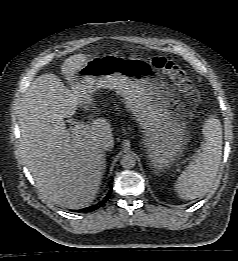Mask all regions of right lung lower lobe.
I'll use <instances>...</instances> for the list:
<instances>
[{
	"label": "right lung lower lobe",
	"mask_w": 238,
	"mask_h": 261,
	"mask_svg": "<svg viewBox=\"0 0 238 261\" xmlns=\"http://www.w3.org/2000/svg\"><path fill=\"white\" fill-rule=\"evenodd\" d=\"M111 190L106 194V196L96 205H93L88 208L87 212H91L96 210L97 208L101 207L109 198H110Z\"/></svg>",
	"instance_id": "98d812e1"
}]
</instances>
